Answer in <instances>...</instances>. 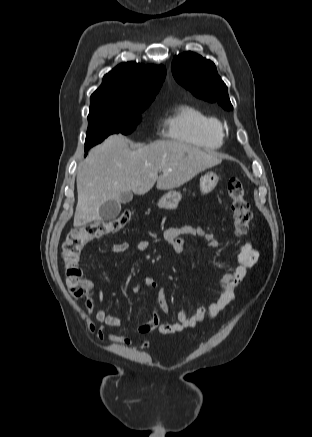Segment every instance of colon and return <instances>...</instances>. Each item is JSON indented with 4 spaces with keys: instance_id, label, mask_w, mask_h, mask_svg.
<instances>
[{
    "instance_id": "5ec220e1",
    "label": "colon",
    "mask_w": 312,
    "mask_h": 437,
    "mask_svg": "<svg viewBox=\"0 0 312 437\" xmlns=\"http://www.w3.org/2000/svg\"><path fill=\"white\" fill-rule=\"evenodd\" d=\"M227 195L236 236L248 233L251 225V212L245 198L244 184L238 177H232L227 183ZM134 210L126 209L110 220H97L73 229L66 237L61 250L64 264L65 286L74 299H83L88 294V281L83 277L80 267L81 254L85 246L106 235L124 228L133 218Z\"/></svg>"
}]
</instances>
